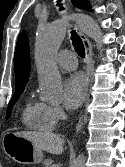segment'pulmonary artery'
Wrapping results in <instances>:
<instances>
[{
    "label": "pulmonary artery",
    "instance_id": "1",
    "mask_svg": "<svg viewBox=\"0 0 125 167\" xmlns=\"http://www.w3.org/2000/svg\"><path fill=\"white\" fill-rule=\"evenodd\" d=\"M56 62L60 68L66 71H74L77 67L75 55L68 50L59 52L56 57Z\"/></svg>",
    "mask_w": 125,
    "mask_h": 167
}]
</instances>
